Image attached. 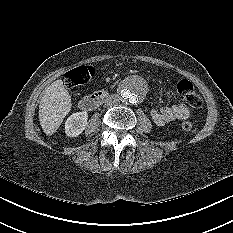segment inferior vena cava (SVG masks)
Segmentation results:
<instances>
[{
    "label": "inferior vena cava",
    "instance_id": "602c4592",
    "mask_svg": "<svg viewBox=\"0 0 233 233\" xmlns=\"http://www.w3.org/2000/svg\"><path fill=\"white\" fill-rule=\"evenodd\" d=\"M118 101H119V97L115 94H112L104 100V104L107 106H113L116 105Z\"/></svg>",
    "mask_w": 233,
    "mask_h": 233
}]
</instances>
